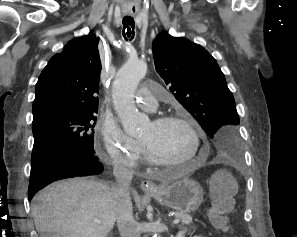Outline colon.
I'll return each mask as SVG.
<instances>
[{
    "label": "colon",
    "instance_id": "1",
    "mask_svg": "<svg viewBox=\"0 0 297 237\" xmlns=\"http://www.w3.org/2000/svg\"><path fill=\"white\" fill-rule=\"evenodd\" d=\"M235 191L234 182L226 173H218L212 179V194L214 205L210 210L209 218L217 230L228 231L226 214L232 209Z\"/></svg>",
    "mask_w": 297,
    "mask_h": 237
}]
</instances>
